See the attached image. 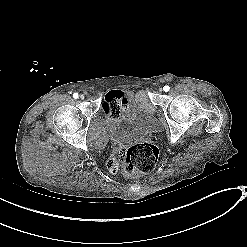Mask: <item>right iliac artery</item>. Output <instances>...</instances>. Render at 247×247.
<instances>
[{"mask_svg": "<svg viewBox=\"0 0 247 247\" xmlns=\"http://www.w3.org/2000/svg\"><path fill=\"white\" fill-rule=\"evenodd\" d=\"M73 97H74L75 99H78V98H79V94H78V93H74V94H73Z\"/></svg>", "mask_w": 247, "mask_h": 247, "instance_id": "1", "label": "right iliac artery"}]
</instances>
